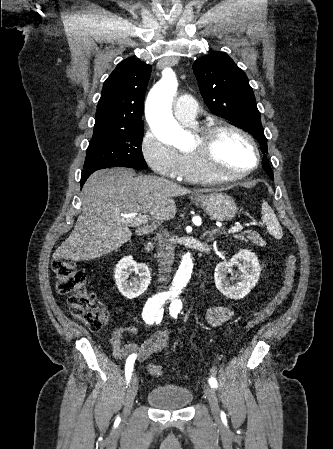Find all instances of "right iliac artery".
Listing matches in <instances>:
<instances>
[{
  "mask_svg": "<svg viewBox=\"0 0 333 449\" xmlns=\"http://www.w3.org/2000/svg\"><path fill=\"white\" fill-rule=\"evenodd\" d=\"M167 299V296L163 294L155 295L148 299L146 302L144 308H143V319L147 324H153L156 322L159 324L162 321L163 318V309H161V306L164 304L165 300ZM136 359V355L132 354L130 355L125 364V374H126V380L127 383L131 379L134 362Z\"/></svg>",
  "mask_w": 333,
  "mask_h": 449,
  "instance_id": "1",
  "label": "right iliac artery"
}]
</instances>
